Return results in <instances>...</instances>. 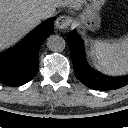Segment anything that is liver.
I'll use <instances>...</instances> for the list:
<instances>
[{"label":"liver","instance_id":"liver-1","mask_svg":"<svg viewBox=\"0 0 128 128\" xmlns=\"http://www.w3.org/2000/svg\"><path fill=\"white\" fill-rule=\"evenodd\" d=\"M84 0H0V51L17 43L40 23L36 11L48 6L81 9Z\"/></svg>","mask_w":128,"mask_h":128}]
</instances>
